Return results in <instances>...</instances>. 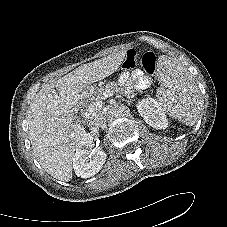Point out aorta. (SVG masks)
<instances>
[{"instance_id": "aorta-1", "label": "aorta", "mask_w": 227, "mask_h": 227, "mask_svg": "<svg viewBox=\"0 0 227 227\" xmlns=\"http://www.w3.org/2000/svg\"><path fill=\"white\" fill-rule=\"evenodd\" d=\"M127 107L123 104H119L113 107V114L116 117H123L127 113Z\"/></svg>"}]
</instances>
